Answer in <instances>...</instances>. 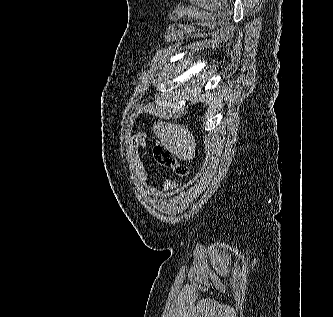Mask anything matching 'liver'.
<instances>
[{"label": "liver", "instance_id": "obj_1", "mask_svg": "<svg viewBox=\"0 0 333 317\" xmlns=\"http://www.w3.org/2000/svg\"><path fill=\"white\" fill-rule=\"evenodd\" d=\"M200 89V87H199ZM197 89L195 88V91ZM204 96L203 100L204 102ZM153 131L161 144L177 158L190 161L195 157V138L188 128L170 122L158 121L153 124Z\"/></svg>", "mask_w": 333, "mask_h": 317}]
</instances>
